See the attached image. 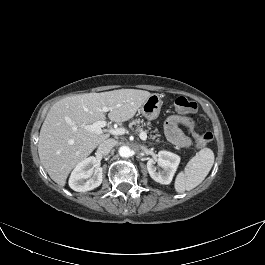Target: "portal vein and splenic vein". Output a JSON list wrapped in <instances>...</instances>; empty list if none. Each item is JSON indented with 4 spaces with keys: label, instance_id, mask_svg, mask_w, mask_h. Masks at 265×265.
Instances as JSON below:
<instances>
[{
    "label": "portal vein and splenic vein",
    "instance_id": "1",
    "mask_svg": "<svg viewBox=\"0 0 265 265\" xmlns=\"http://www.w3.org/2000/svg\"><path fill=\"white\" fill-rule=\"evenodd\" d=\"M102 110L104 112H108L110 110L109 107L107 106H104L102 108ZM105 126H107V122L104 121V120H100V121H96L95 123L91 124V125H87L86 126V129L92 131V132H95V133H102L103 130L102 128H104ZM109 132L111 133L112 135H123L125 134L127 131L124 129V128H117V129H109V130H106V132ZM139 137L141 140L145 141L147 139V135H146V132L143 131L142 129L140 130V133H139Z\"/></svg>",
    "mask_w": 265,
    "mask_h": 265
}]
</instances>
